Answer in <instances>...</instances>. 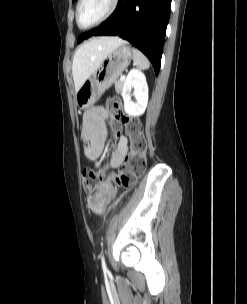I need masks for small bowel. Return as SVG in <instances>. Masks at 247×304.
Listing matches in <instances>:
<instances>
[{
    "instance_id": "obj_1",
    "label": "small bowel",
    "mask_w": 247,
    "mask_h": 304,
    "mask_svg": "<svg viewBox=\"0 0 247 304\" xmlns=\"http://www.w3.org/2000/svg\"><path fill=\"white\" fill-rule=\"evenodd\" d=\"M107 111L102 107H95L85 114L82 137L85 142L84 153L90 161L97 160L103 152L105 144L104 120ZM128 153V140L121 137L118 141L116 150L110 158V166L116 168L120 166Z\"/></svg>"
}]
</instances>
